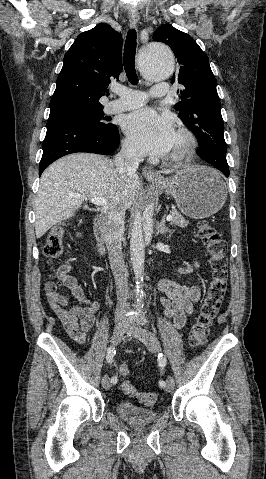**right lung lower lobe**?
I'll list each match as a JSON object with an SVG mask.
<instances>
[{
  "label": "right lung lower lobe",
  "instance_id": "obj_1",
  "mask_svg": "<svg viewBox=\"0 0 266 479\" xmlns=\"http://www.w3.org/2000/svg\"><path fill=\"white\" fill-rule=\"evenodd\" d=\"M118 144L119 132L113 124L110 127L96 128L74 120L48 119L39 175L64 155L76 152L106 155L115 151Z\"/></svg>",
  "mask_w": 266,
  "mask_h": 479
}]
</instances>
